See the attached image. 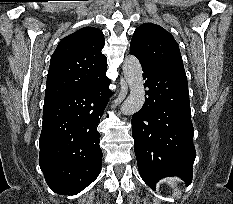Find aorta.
I'll return each instance as SVG.
<instances>
[{
  "label": "aorta",
  "instance_id": "1",
  "mask_svg": "<svg viewBox=\"0 0 233 204\" xmlns=\"http://www.w3.org/2000/svg\"><path fill=\"white\" fill-rule=\"evenodd\" d=\"M122 68L130 94L124 101L121 112L124 115H133L142 108L145 102L142 67L135 56L128 55L124 60Z\"/></svg>",
  "mask_w": 233,
  "mask_h": 204
}]
</instances>
